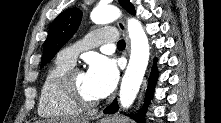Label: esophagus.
<instances>
[{
	"label": "esophagus",
	"mask_w": 221,
	"mask_h": 123,
	"mask_svg": "<svg viewBox=\"0 0 221 123\" xmlns=\"http://www.w3.org/2000/svg\"><path fill=\"white\" fill-rule=\"evenodd\" d=\"M118 27H119L120 31L122 32V34L125 38L126 50L129 53V51H130V41H129V37H128V34H127L125 23L123 21H119L118 22Z\"/></svg>",
	"instance_id": "34e87169"
}]
</instances>
